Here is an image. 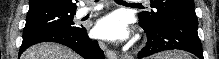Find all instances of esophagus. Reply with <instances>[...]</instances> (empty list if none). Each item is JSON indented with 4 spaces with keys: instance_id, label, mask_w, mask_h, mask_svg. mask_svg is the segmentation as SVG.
Here are the masks:
<instances>
[{
    "instance_id": "esophagus-1",
    "label": "esophagus",
    "mask_w": 219,
    "mask_h": 59,
    "mask_svg": "<svg viewBox=\"0 0 219 59\" xmlns=\"http://www.w3.org/2000/svg\"><path fill=\"white\" fill-rule=\"evenodd\" d=\"M106 55H107L108 59H116V57H117L116 53L112 50H109V49L106 51Z\"/></svg>"
}]
</instances>
